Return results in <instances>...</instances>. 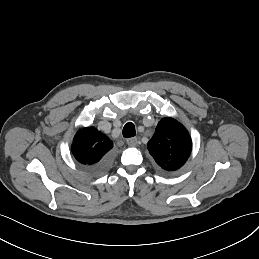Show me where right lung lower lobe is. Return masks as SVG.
<instances>
[{
	"label": "right lung lower lobe",
	"mask_w": 259,
	"mask_h": 259,
	"mask_svg": "<svg viewBox=\"0 0 259 259\" xmlns=\"http://www.w3.org/2000/svg\"><path fill=\"white\" fill-rule=\"evenodd\" d=\"M111 162H112L111 155H107L99 162L93 165H85V167L93 173H100L108 169L109 166L111 165Z\"/></svg>",
	"instance_id": "right-lung-lower-lobe-1"
}]
</instances>
